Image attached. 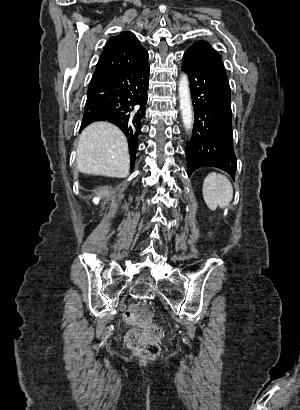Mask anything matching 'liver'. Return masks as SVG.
<instances>
[{
  "mask_svg": "<svg viewBox=\"0 0 300 410\" xmlns=\"http://www.w3.org/2000/svg\"><path fill=\"white\" fill-rule=\"evenodd\" d=\"M77 169L88 175L124 178L129 174L128 142L122 131L107 122H95L81 133Z\"/></svg>",
  "mask_w": 300,
  "mask_h": 410,
  "instance_id": "liver-1",
  "label": "liver"
}]
</instances>
